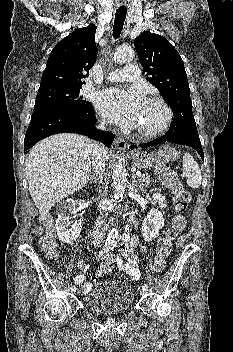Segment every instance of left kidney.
Listing matches in <instances>:
<instances>
[{"mask_svg": "<svg viewBox=\"0 0 233 352\" xmlns=\"http://www.w3.org/2000/svg\"><path fill=\"white\" fill-rule=\"evenodd\" d=\"M164 226V218L157 209L151 210L144 218L141 231L145 241H152L159 235V230Z\"/></svg>", "mask_w": 233, "mask_h": 352, "instance_id": "obj_1", "label": "left kidney"}]
</instances>
